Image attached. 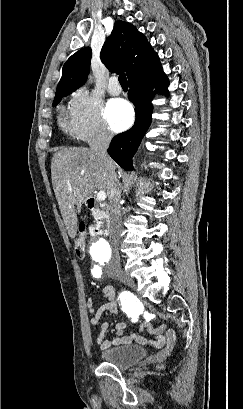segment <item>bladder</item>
Listing matches in <instances>:
<instances>
[{"mask_svg": "<svg viewBox=\"0 0 243 409\" xmlns=\"http://www.w3.org/2000/svg\"><path fill=\"white\" fill-rule=\"evenodd\" d=\"M101 359L119 369H127L147 356V351L139 345H120L101 351Z\"/></svg>", "mask_w": 243, "mask_h": 409, "instance_id": "obj_1", "label": "bladder"}]
</instances>
